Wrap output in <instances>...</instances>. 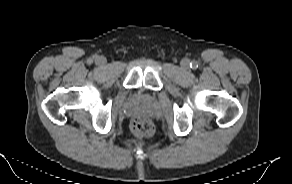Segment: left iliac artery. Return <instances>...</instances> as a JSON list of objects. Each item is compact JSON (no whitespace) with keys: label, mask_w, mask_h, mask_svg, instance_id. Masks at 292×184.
I'll return each mask as SVG.
<instances>
[{"label":"left iliac artery","mask_w":292,"mask_h":184,"mask_svg":"<svg viewBox=\"0 0 292 184\" xmlns=\"http://www.w3.org/2000/svg\"><path fill=\"white\" fill-rule=\"evenodd\" d=\"M190 66L192 67V68H197L198 67V64H197V62H192L191 64H190Z\"/></svg>","instance_id":"left-iliac-artery-1"}]
</instances>
